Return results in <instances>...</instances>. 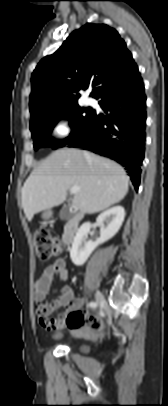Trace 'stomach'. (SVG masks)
Listing matches in <instances>:
<instances>
[{"label": "stomach", "mask_w": 168, "mask_h": 406, "mask_svg": "<svg viewBox=\"0 0 168 406\" xmlns=\"http://www.w3.org/2000/svg\"><path fill=\"white\" fill-rule=\"evenodd\" d=\"M51 216V212L50 211H46V212H44V214H43V217L44 218H49Z\"/></svg>", "instance_id": "stomach-1"}]
</instances>
